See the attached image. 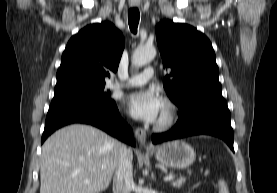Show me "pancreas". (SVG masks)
Wrapping results in <instances>:
<instances>
[{"mask_svg":"<svg viewBox=\"0 0 277 193\" xmlns=\"http://www.w3.org/2000/svg\"><path fill=\"white\" fill-rule=\"evenodd\" d=\"M169 175H172V173H170ZM185 182H186V178L180 177L176 180H172L171 185L174 186V187H182Z\"/></svg>","mask_w":277,"mask_h":193,"instance_id":"obj_1","label":"pancreas"}]
</instances>
